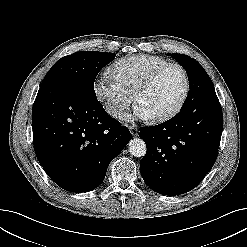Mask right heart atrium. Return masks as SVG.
<instances>
[{
	"label": "right heart atrium",
	"instance_id": "obj_1",
	"mask_svg": "<svg viewBox=\"0 0 247 247\" xmlns=\"http://www.w3.org/2000/svg\"><path fill=\"white\" fill-rule=\"evenodd\" d=\"M94 92L106 112L118 117L132 102V97L110 71L101 73L95 82Z\"/></svg>",
	"mask_w": 247,
	"mask_h": 247
}]
</instances>
